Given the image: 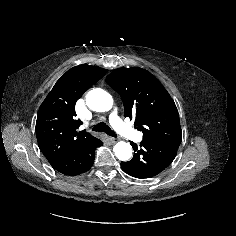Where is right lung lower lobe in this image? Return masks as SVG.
<instances>
[{
    "label": "right lung lower lobe",
    "mask_w": 236,
    "mask_h": 236,
    "mask_svg": "<svg viewBox=\"0 0 236 236\" xmlns=\"http://www.w3.org/2000/svg\"><path fill=\"white\" fill-rule=\"evenodd\" d=\"M100 139H95L90 144L66 155L49 161L51 166L67 176H76L88 171L95 159V149L102 146Z\"/></svg>",
    "instance_id": "1"
}]
</instances>
